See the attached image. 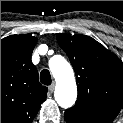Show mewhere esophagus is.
Listing matches in <instances>:
<instances>
[{"mask_svg": "<svg viewBox=\"0 0 123 123\" xmlns=\"http://www.w3.org/2000/svg\"><path fill=\"white\" fill-rule=\"evenodd\" d=\"M55 88V82H52V84L48 87L50 92H53Z\"/></svg>", "mask_w": 123, "mask_h": 123, "instance_id": "1", "label": "esophagus"}]
</instances>
